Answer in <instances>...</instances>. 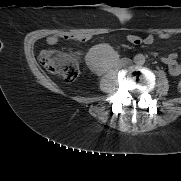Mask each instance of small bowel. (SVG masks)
<instances>
[{"mask_svg": "<svg viewBox=\"0 0 181 181\" xmlns=\"http://www.w3.org/2000/svg\"><path fill=\"white\" fill-rule=\"evenodd\" d=\"M170 34L168 33H159L157 34V38L159 39H168L170 38ZM60 39L65 40H75V41H88L91 39L90 35L87 34H72V33H65L61 36L58 35H51L47 38V43L51 46L56 45L59 43ZM128 41L134 45H151L155 41V36L149 34L145 37H139L136 35H129L127 37ZM162 62L165 63L168 67L169 73L173 76H178L181 74V63L177 61V55L172 53L165 57L161 58Z\"/></svg>", "mask_w": 181, "mask_h": 181, "instance_id": "small-bowel-1", "label": "small bowel"}]
</instances>
